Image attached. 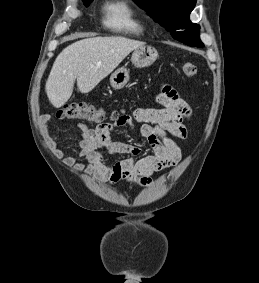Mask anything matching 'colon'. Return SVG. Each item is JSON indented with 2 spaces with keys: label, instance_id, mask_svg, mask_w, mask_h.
Instances as JSON below:
<instances>
[{
  "label": "colon",
  "instance_id": "1",
  "mask_svg": "<svg viewBox=\"0 0 259 283\" xmlns=\"http://www.w3.org/2000/svg\"><path fill=\"white\" fill-rule=\"evenodd\" d=\"M181 69L183 74L190 78L196 76L198 72L197 66L191 62L183 63ZM56 116L60 119L85 120L93 123H104L120 118L117 112L107 113L102 108L82 102L63 106L57 111Z\"/></svg>",
  "mask_w": 259,
  "mask_h": 283
}]
</instances>
